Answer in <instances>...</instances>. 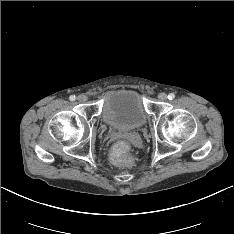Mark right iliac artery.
<instances>
[{
	"mask_svg": "<svg viewBox=\"0 0 234 234\" xmlns=\"http://www.w3.org/2000/svg\"><path fill=\"white\" fill-rule=\"evenodd\" d=\"M69 99H70V101H75V100H76V96H75V95H71V96L69 97Z\"/></svg>",
	"mask_w": 234,
	"mask_h": 234,
	"instance_id": "1",
	"label": "right iliac artery"
}]
</instances>
